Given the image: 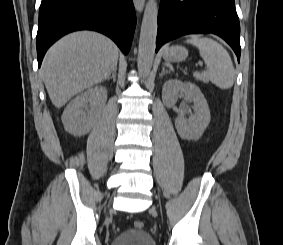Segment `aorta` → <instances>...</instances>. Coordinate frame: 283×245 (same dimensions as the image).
Here are the masks:
<instances>
[{
  "mask_svg": "<svg viewBox=\"0 0 283 245\" xmlns=\"http://www.w3.org/2000/svg\"><path fill=\"white\" fill-rule=\"evenodd\" d=\"M157 16V3L155 0H149L142 19L137 59L138 70L143 75L150 73L154 60L158 27Z\"/></svg>",
  "mask_w": 283,
  "mask_h": 245,
  "instance_id": "obj_1",
  "label": "aorta"
}]
</instances>
